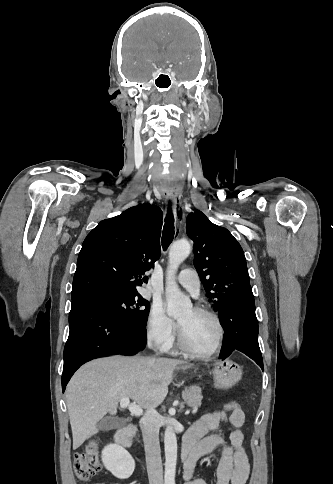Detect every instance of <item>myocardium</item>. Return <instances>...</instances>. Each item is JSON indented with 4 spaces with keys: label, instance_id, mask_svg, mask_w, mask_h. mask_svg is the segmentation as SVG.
I'll list each match as a JSON object with an SVG mask.
<instances>
[{
    "label": "myocardium",
    "instance_id": "1",
    "mask_svg": "<svg viewBox=\"0 0 333 484\" xmlns=\"http://www.w3.org/2000/svg\"><path fill=\"white\" fill-rule=\"evenodd\" d=\"M193 310L196 313L207 315L214 320V322L217 326V329H218V336H217V340L215 342V345L208 352H199V351L195 350L190 345V343L188 342L181 325L177 322L178 344L183 351H185L187 354H189L193 357L200 358V359L211 358L214 355H216L222 347V343H223V340H224V333H225L223 323H222L220 317L218 316V314H216L214 311H212V310H210L206 307L195 306V307H193Z\"/></svg>",
    "mask_w": 333,
    "mask_h": 484
}]
</instances>
